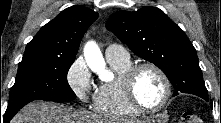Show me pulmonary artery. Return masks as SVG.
Returning a JSON list of instances; mask_svg holds the SVG:
<instances>
[{"instance_id": "e3ab8cb5", "label": "pulmonary artery", "mask_w": 221, "mask_h": 123, "mask_svg": "<svg viewBox=\"0 0 221 123\" xmlns=\"http://www.w3.org/2000/svg\"><path fill=\"white\" fill-rule=\"evenodd\" d=\"M105 56L108 61L118 60V61H127L130 59L128 51L118 44H110L105 50Z\"/></svg>"}]
</instances>
